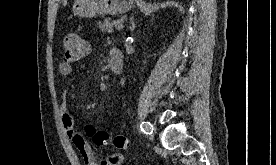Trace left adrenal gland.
Returning <instances> with one entry per match:
<instances>
[{"mask_svg":"<svg viewBox=\"0 0 276 165\" xmlns=\"http://www.w3.org/2000/svg\"><path fill=\"white\" fill-rule=\"evenodd\" d=\"M130 24H131L130 30L133 31L136 28V25L134 23V17L130 18Z\"/></svg>","mask_w":276,"mask_h":165,"instance_id":"obj_1","label":"left adrenal gland"}]
</instances>
